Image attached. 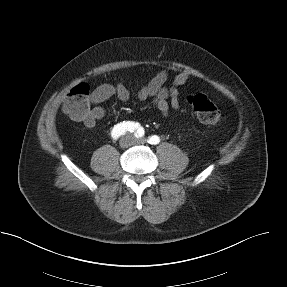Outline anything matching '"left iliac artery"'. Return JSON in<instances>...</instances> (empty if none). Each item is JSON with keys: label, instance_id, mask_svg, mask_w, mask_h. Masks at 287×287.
I'll return each mask as SVG.
<instances>
[{"label": "left iliac artery", "instance_id": "obj_1", "mask_svg": "<svg viewBox=\"0 0 287 287\" xmlns=\"http://www.w3.org/2000/svg\"><path fill=\"white\" fill-rule=\"evenodd\" d=\"M147 141L148 143L152 145H156L160 142V138L157 135H153V136H150Z\"/></svg>", "mask_w": 287, "mask_h": 287}]
</instances>
